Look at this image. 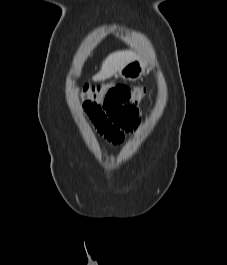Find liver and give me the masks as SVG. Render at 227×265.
Returning <instances> with one entry per match:
<instances>
[{
  "instance_id": "1",
  "label": "liver",
  "mask_w": 227,
  "mask_h": 265,
  "mask_svg": "<svg viewBox=\"0 0 227 265\" xmlns=\"http://www.w3.org/2000/svg\"><path fill=\"white\" fill-rule=\"evenodd\" d=\"M137 58L138 56L132 51L114 52L103 61L100 72L93 77V80H106L116 74L126 64Z\"/></svg>"
}]
</instances>
